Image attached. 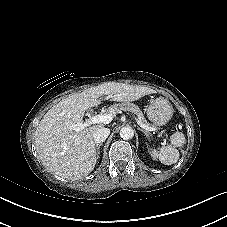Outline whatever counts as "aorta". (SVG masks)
<instances>
[{"mask_svg": "<svg viewBox=\"0 0 227 227\" xmlns=\"http://www.w3.org/2000/svg\"><path fill=\"white\" fill-rule=\"evenodd\" d=\"M120 136L124 140L132 139L134 136V131L131 127H123L120 130Z\"/></svg>", "mask_w": 227, "mask_h": 227, "instance_id": "1", "label": "aorta"}]
</instances>
